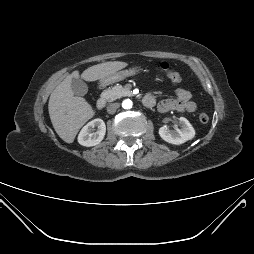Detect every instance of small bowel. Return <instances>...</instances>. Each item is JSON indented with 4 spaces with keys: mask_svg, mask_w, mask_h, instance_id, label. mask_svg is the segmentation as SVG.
Returning <instances> with one entry per match:
<instances>
[{
    "mask_svg": "<svg viewBox=\"0 0 254 254\" xmlns=\"http://www.w3.org/2000/svg\"><path fill=\"white\" fill-rule=\"evenodd\" d=\"M176 98L174 99H165L158 104V110L162 113L169 111H180V112H194L197 108L196 103L192 100L191 93L184 89L178 88L175 92ZM154 100L155 98L152 95H148Z\"/></svg>",
    "mask_w": 254,
    "mask_h": 254,
    "instance_id": "obj_1",
    "label": "small bowel"
}]
</instances>
